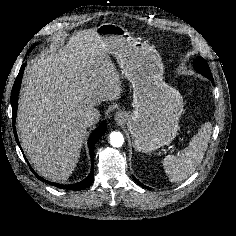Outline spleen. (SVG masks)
I'll return each mask as SVG.
<instances>
[{"label": "spleen", "mask_w": 236, "mask_h": 236, "mask_svg": "<svg viewBox=\"0 0 236 236\" xmlns=\"http://www.w3.org/2000/svg\"><path fill=\"white\" fill-rule=\"evenodd\" d=\"M211 136V124L205 123L180 156L168 155L163 160L165 172L171 182L186 179L192 174L204 157Z\"/></svg>", "instance_id": "3e777b00"}]
</instances>
